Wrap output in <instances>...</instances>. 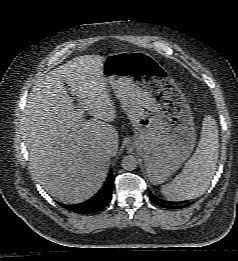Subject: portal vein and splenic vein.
Here are the masks:
<instances>
[{"instance_id": "18ae733b", "label": "portal vein and splenic vein", "mask_w": 238, "mask_h": 261, "mask_svg": "<svg viewBox=\"0 0 238 261\" xmlns=\"http://www.w3.org/2000/svg\"><path fill=\"white\" fill-rule=\"evenodd\" d=\"M83 112H80V116L82 115Z\"/></svg>"}]
</instances>
